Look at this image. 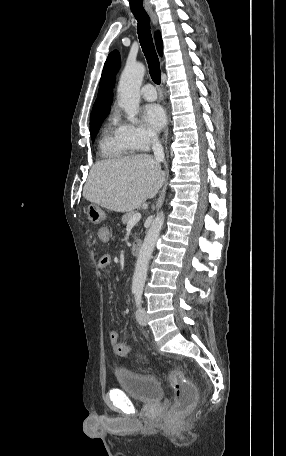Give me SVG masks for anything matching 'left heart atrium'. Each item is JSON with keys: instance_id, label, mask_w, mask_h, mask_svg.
I'll return each instance as SVG.
<instances>
[{"instance_id": "left-heart-atrium-1", "label": "left heart atrium", "mask_w": 286, "mask_h": 456, "mask_svg": "<svg viewBox=\"0 0 286 456\" xmlns=\"http://www.w3.org/2000/svg\"><path fill=\"white\" fill-rule=\"evenodd\" d=\"M143 115L147 124L154 130L161 129L165 124V112L158 104L146 105Z\"/></svg>"}]
</instances>
